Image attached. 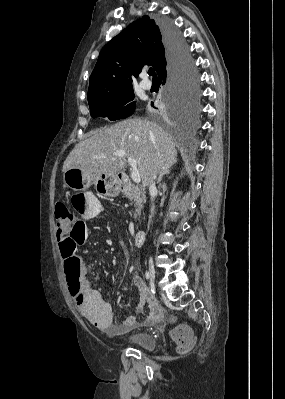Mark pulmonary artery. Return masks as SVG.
<instances>
[{
    "label": "pulmonary artery",
    "mask_w": 285,
    "mask_h": 399,
    "mask_svg": "<svg viewBox=\"0 0 285 399\" xmlns=\"http://www.w3.org/2000/svg\"><path fill=\"white\" fill-rule=\"evenodd\" d=\"M151 81L150 80H148V79H146V78H144V79H142L141 81H140V86L143 88V89H145V90H148V89H150L151 88Z\"/></svg>",
    "instance_id": "e3ab8cb5"
}]
</instances>
